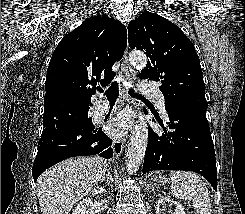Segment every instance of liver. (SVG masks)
<instances>
[{"instance_id": "6515ba94", "label": "liver", "mask_w": 245, "mask_h": 214, "mask_svg": "<svg viewBox=\"0 0 245 214\" xmlns=\"http://www.w3.org/2000/svg\"><path fill=\"white\" fill-rule=\"evenodd\" d=\"M108 164L101 157L68 159L38 178L41 214H69L95 184L106 176Z\"/></svg>"}]
</instances>
